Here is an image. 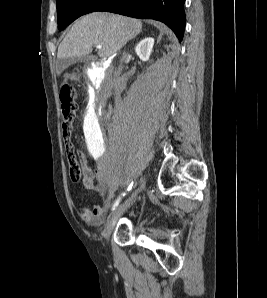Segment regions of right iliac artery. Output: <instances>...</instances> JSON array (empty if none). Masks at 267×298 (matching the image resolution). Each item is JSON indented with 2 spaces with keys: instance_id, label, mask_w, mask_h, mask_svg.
Wrapping results in <instances>:
<instances>
[{
  "instance_id": "obj_1",
  "label": "right iliac artery",
  "mask_w": 267,
  "mask_h": 298,
  "mask_svg": "<svg viewBox=\"0 0 267 298\" xmlns=\"http://www.w3.org/2000/svg\"><path fill=\"white\" fill-rule=\"evenodd\" d=\"M132 186H133V183H131L130 185H129V187H128V191L132 188ZM126 195V193L124 192V193H122L115 201H114V203H113V205H112V210H114L118 205H119V203H120V201L122 200V198L124 197Z\"/></svg>"
}]
</instances>
